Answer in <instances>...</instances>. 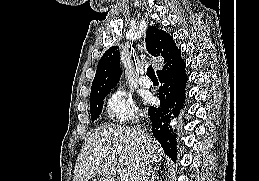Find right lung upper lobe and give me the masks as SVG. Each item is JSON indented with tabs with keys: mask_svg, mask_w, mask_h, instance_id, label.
Masks as SVG:
<instances>
[{
	"mask_svg": "<svg viewBox=\"0 0 259 181\" xmlns=\"http://www.w3.org/2000/svg\"><path fill=\"white\" fill-rule=\"evenodd\" d=\"M146 48L152 56H162L164 63L180 52L169 34L152 26H149L146 32ZM119 55L118 46L110 47L103 54L98 62L90 98L110 92L119 82L121 76Z\"/></svg>",
	"mask_w": 259,
	"mask_h": 181,
	"instance_id": "obj_1",
	"label": "right lung upper lobe"
}]
</instances>
